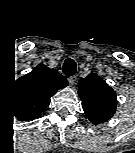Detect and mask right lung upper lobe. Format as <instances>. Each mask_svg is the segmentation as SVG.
Instances as JSON below:
<instances>
[{"mask_svg":"<svg viewBox=\"0 0 135 153\" xmlns=\"http://www.w3.org/2000/svg\"><path fill=\"white\" fill-rule=\"evenodd\" d=\"M16 83L20 115L25 119L38 117L49 105L50 97L68 85L64 76L46 66H37Z\"/></svg>","mask_w":135,"mask_h":153,"instance_id":"right-lung-upper-lobe-1","label":"right lung upper lobe"}]
</instances>
